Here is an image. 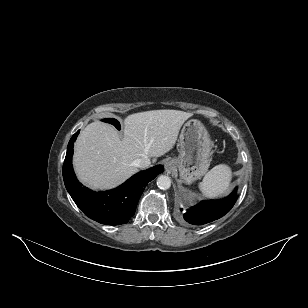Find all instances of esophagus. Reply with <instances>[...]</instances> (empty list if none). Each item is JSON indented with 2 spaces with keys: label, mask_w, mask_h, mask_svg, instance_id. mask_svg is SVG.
I'll list each match as a JSON object with an SVG mask.
<instances>
[{
  "label": "esophagus",
  "mask_w": 308,
  "mask_h": 308,
  "mask_svg": "<svg viewBox=\"0 0 308 308\" xmlns=\"http://www.w3.org/2000/svg\"><path fill=\"white\" fill-rule=\"evenodd\" d=\"M174 169H175V164H174L173 160L166 161V163H165V170L168 173H171Z\"/></svg>",
  "instance_id": "obj_1"
}]
</instances>
